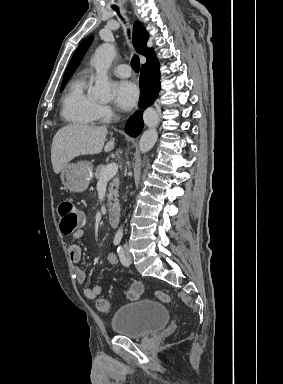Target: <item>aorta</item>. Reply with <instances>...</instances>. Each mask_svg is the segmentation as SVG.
<instances>
[{"label":"aorta","mask_w":283,"mask_h":384,"mask_svg":"<svg viewBox=\"0 0 283 384\" xmlns=\"http://www.w3.org/2000/svg\"><path fill=\"white\" fill-rule=\"evenodd\" d=\"M115 55V48L109 43L99 46L94 54L92 63L96 70V79L92 94L96 98L108 99L111 96L113 84L109 81L107 72ZM143 120L148 129L140 138L139 149L142 153H146L152 149L158 138V113L153 108H148L143 114ZM122 232L120 227L117 234L122 235Z\"/></svg>","instance_id":"762f6f07"}]
</instances>
